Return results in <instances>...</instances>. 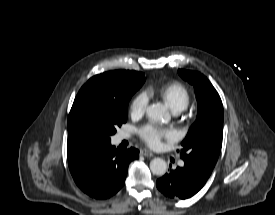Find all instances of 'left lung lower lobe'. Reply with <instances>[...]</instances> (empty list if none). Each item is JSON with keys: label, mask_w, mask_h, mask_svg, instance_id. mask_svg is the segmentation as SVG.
<instances>
[{"label": "left lung lower lobe", "mask_w": 275, "mask_h": 215, "mask_svg": "<svg viewBox=\"0 0 275 215\" xmlns=\"http://www.w3.org/2000/svg\"><path fill=\"white\" fill-rule=\"evenodd\" d=\"M210 175L211 172L205 169L185 163L158 179L156 186L166 197L184 200L195 195Z\"/></svg>", "instance_id": "0a47b994"}]
</instances>
